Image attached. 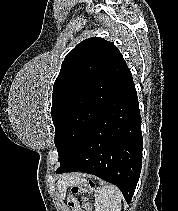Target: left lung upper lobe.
Masks as SVG:
<instances>
[{"label":"left lung upper lobe","mask_w":178,"mask_h":211,"mask_svg":"<svg viewBox=\"0 0 178 211\" xmlns=\"http://www.w3.org/2000/svg\"><path fill=\"white\" fill-rule=\"evenodd\" d=\"M127 69L116 46L100 37L82 41L66 55L51 107L60 164L97 122Z\"/></svg>","instance_id":"left-lung-upper-lobe-1"}]
</instances>
